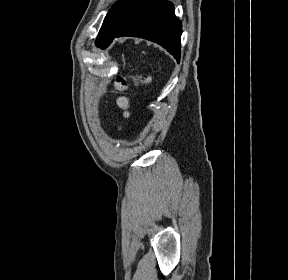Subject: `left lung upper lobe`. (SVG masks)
<instances>
[{
  "label": "left lung upper lobe",
  "mask_w": 288,
  "mask_h": 280,
  "mask_svg": "<svg viewBox=\"0 0 288 280\" xmlns=\"http://www.w3.org/2000/svg\"><path fill=\"white\" fill-rule=\"evenodd\" d=\"M145 0H119L107 13L103 25L96 39V46L101 47L106 44L112 36L120 29L126 19Z\"/></svg>",
  "instance_id": "left-lung-upper-lobe-1"
}]
</instances>
